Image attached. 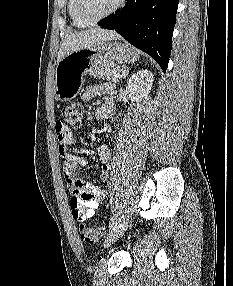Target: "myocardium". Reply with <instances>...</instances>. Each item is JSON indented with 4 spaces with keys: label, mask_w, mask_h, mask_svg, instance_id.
I'll use <instances>...</instances> for the list:
<instances>
[{
    "label": "myocardium",
    "mask_w": 233,
    "mask_h": 286,
    "mask_svg": "<svg viewBox=\"0 0 233 286\" xmlns=\"http://www.w3.org/2000/svg\"><path fill=\"white\" fill-rule=\"evenodd\" d=\"M124 3H125V0H118L116 4L111 9H109L107 12L97 17H89L84 11V0H76V11H77L78 16L83 21H85L88 24H94L114 14L124 5Z\"/></svg>",
    "instance_id": "obj_1"
}]
</instances>
